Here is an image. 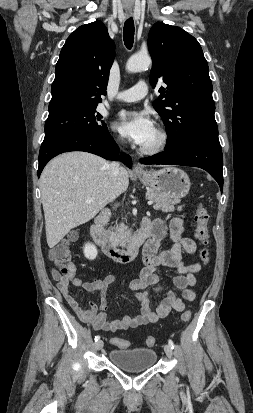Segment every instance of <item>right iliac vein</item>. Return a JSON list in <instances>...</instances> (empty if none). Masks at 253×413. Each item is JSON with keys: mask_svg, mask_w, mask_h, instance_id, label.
<instances>
[{"mask_svg": "<svg viewBox=\"0 0 253 413\" xmlns=\"http://www.w3.org/2000/svg\"><path fill=\"white\" fill-rule=\"evenodd\" d=\"M102 347H103V341H102V340H98V341L95 343V349H96V350H100V349H102Z\"/></svg>", "mask_w": 253, "mask_h": 413, "instance_id": "obj_1", "label": "right iliac vein"}]
</instances>
